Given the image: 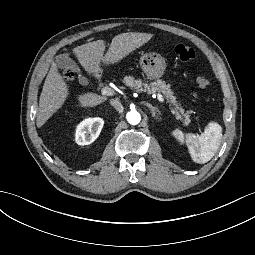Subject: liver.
Returning a JSON list of instances; mask_svg holds the SVG:
<instances>
[{"label":"liver","instance_id":"1","mask_svg":"<svg viewBox=\"0 0 255 255\" xmlns=\"http://www.w3.org/2000/svg\"><path fill=\"white\" fill-rule=\"evenodd\" d=\"M153 34L128 32L115 36L110 47L104 55L105 43L97 40L77 46L73 49L82 67L94 75L102 73L100 62L114 64L129 55L135 49L147 43ZM98 75L97 77H100ZM68 95V88L63 77L58 73L55 64L52 65L45 79L39 99V111L37 113L36 125L40 128L45 122L62 106ZM107 98L95 93L80 95L78 100L83 107H94Z\"/></svg>","mask_w":255,"mask_h":255}]
</instances>
